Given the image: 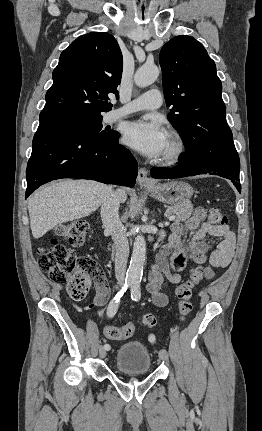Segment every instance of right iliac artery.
I'll return each mask as SVG.
<instances>
[{"label": "right iliac artery", "instance_id": "obj_1", "mask_svg": "<svg viewBox=\"0 0 262 431\" xmlns=\"http://www.w3.org/2000/svg\"><path fill=\"white\" fill-rule=\"evenodd\" d=\"M132 283L131 282H125L124 286L122 287V289L115 295V297L111 300V302L109 303V306L107 308V315L108 317L112 318L119 307V302H120V298L123 296V294L127 291V289L129 287H131ZM104 348L106 350H110V345L109 344H105Z\"/></svg>", "mask_w": 262, "mask_h": 431}]
</instances>
